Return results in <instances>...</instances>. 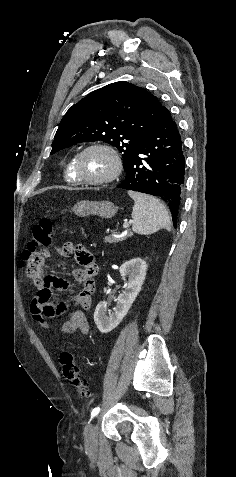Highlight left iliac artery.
<instances>
[{"label": "left iliac artery", "mask_w": 236, "mask_h": 477, "mask_svg": "<svg viewBox=\"0 0 236 477\" xmlns=\"http://www.w3.org/2000/svg\"><path fill=\"white\" fill-rule=\"evenodd\" d=\"M100 412V408L99 407H96L92 410L91 412V417L93 418L95 416L96 413Z\"/></svg>", "instance_id": "44dca946"}]
</instances>
